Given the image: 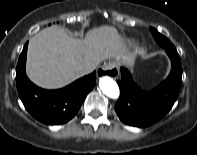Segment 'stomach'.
Wrapping results in <instances>:
<instances>
[{"instance_id":"0dacf381","label":"stomach","mask_w":197,"mask_h":155,"mask_svg":"<svg viewBox=\"0 0 197 155\" xmlns=\"http://www.w3.org/2000/svg\"><path fill=\"white\" fill-rule=\"evenodd\" d=\"M122 63L129 66V67H132L134 64V58L133 57H126L123 59Z\"/></svg>"}]
</instances>
